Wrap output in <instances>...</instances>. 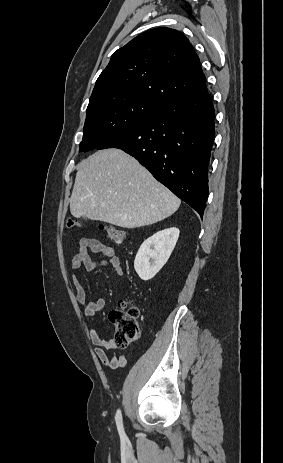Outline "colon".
<instances>
[{"label": "colon", "mask_w": 283, "mask_h": 463, "mask_svg": "<svg viewBox=\"0 0 283 463\" xmlns=\"http://www.w3.org/2000/svg\"><path fill=\"white\" fill-rule=\"evenodd\" d=\"M69 228L81 225L78 220H69ZM107 237L115 244H122L126 240V232L111 225H100ZM139 309L135 306H129L123 303L119 308L110 313V318L115 327L114 342L119 347H125L139 339Z\"/></svg>", "instance_id": "colon-1"}]
</instances>
